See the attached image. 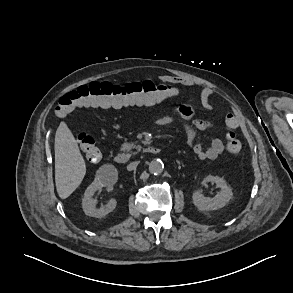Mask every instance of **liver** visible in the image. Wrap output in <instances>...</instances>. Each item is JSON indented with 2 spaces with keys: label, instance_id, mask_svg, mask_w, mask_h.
<instances>
[{
  "label": "liver",
  "instance_id": "obj_1",
  "mask_svg": "<svg viewBox=\"0 0 293 293\" xmlns=\"http://www.w3.org/2000/svg\"><path fill=\"white\" fill-rule=\"evenodd\" d=\"M86 164L78 144L65 122L55 135V183L61 199L69 197L82 182Z\"/></svg>",
  "mask_w": 293,
  "mask_h": 293
}]
</instances>
